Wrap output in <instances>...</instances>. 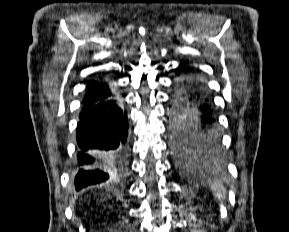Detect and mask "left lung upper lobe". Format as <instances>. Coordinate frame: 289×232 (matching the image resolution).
<instances>
[{"instance_id":"5c2ea615","label":"left lung upper lobe","mask_w":289,"mask_h":232,"mask_svg":"<svg viewBox=\"0 0 289 232\" xmlns=\"http://www.w3.org/2000/svg\"><path fill=\"white\" fill-rule=\"evenodd\" d=\"M173 145L183 153H212L220 147L212 144L196 128L189 117L181 112L172 119Z\"/></svg>"}]
</instances>
